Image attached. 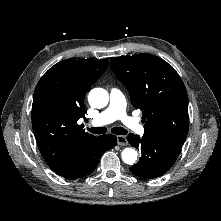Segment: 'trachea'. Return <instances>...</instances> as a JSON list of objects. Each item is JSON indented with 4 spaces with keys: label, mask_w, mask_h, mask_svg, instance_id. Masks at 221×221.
Segmentation results:
<instances>
[{
    "label": "trachea",
    "mask_w": 221,
    "mask_h": 221,
    "mask_svg": "<svg viewBox=\"0 0 221 221\" xmlns=\"http://www.w3.org/2000/svg\"><path fill=\"white\" fill-rule=\"evenodd\" d=\"M88 131L93 134H105L107 129L105 127L88 128ZM112 133L117 134V135H124L127 133V130H125L122 127H114L112 128Z\"/></svg>",
    "instance_id": "1"
}]
</instances>
